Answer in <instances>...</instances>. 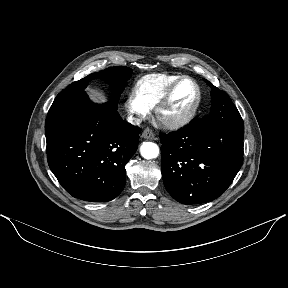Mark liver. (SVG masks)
Returning a JSON list of instances; mask_svg holds the SVG:
<instances>
[{"label":"liver","instance_id":"obj_1","mask_svg":"<svg viewBox=\"0 0 288 288\" xmlns=\"http://www.w3.org/2000/svg\"><path fill=\"white\" fill-rule=\"evenodd\" d=\"M90 94L95 101H105V97L95 90H90Z\"/></svg>","mask_w":288,"mask_h":288}]
</instances>
